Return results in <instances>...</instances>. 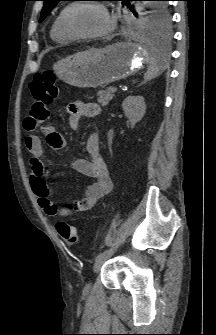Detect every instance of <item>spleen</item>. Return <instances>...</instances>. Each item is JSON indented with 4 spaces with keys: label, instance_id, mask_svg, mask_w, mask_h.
<instances>
[{
    "label": "spleen",
    "instance_id": "spleen-1",
    "mask_svg": "<svg viewBox=\"0 0 216 335\" xmlns=\"http://www.w3.org/2000/svg\"><path fill=\"white\" fill-rule=\"evenodd\" d=\"M165 69L163 57L156 49H151L148 61V70L144 75V80L149 81L156 78Z\"/></svg>",
    "mask_w": 216,
    "mask_h": 335
}]
</instances>
